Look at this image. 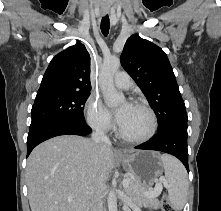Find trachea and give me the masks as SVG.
<instances>
[{
	"label": "trachea",
	"instance_id": "obj_1",
	"mask_svg": "<svg viewBox=\"0 0 221 211\" xmlns=\"http://www.w3.org/2000/svg\"><path fill=\"white\" fill-rule=\"evenodd\" d=\"M109 28H110L109 16L106 15L101 20V31H102L104 36L108 35Z\"/></svg>",
	"mask_w": 221,
	"mask_h": 211
}]
</instances>
